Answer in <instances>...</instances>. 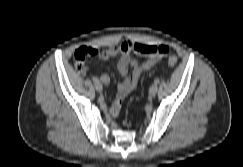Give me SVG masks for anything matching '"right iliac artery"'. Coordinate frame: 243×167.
<instances>
[{
	"label": "right iliac artery",
	"instance_id": "1",
	"mask_svg": "<svg viewBox=\"0 0 243 167\" xmlns=\"http://www.w3.org/2000/svg\"><path fill=\"white\" fill-rule=\"evenodd\" d=\"M93 82L96 84V83H99V80L96 77H94Z\"/></svg>",
	"mask_w": 243,
	"mask_h": 167
}]
</instances>
